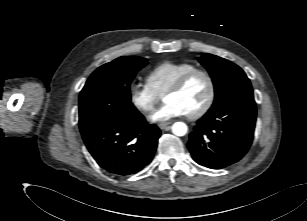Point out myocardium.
Returning <instances> with one entry per match:
<instances>
[{
    "mask_svg": "<svg viewBox=\"0 0 307 221\" xmlns=\"http://www.w3.org/2000/svg\"><path fill=\"white\" fill-rule=\"evenodd\" d=\"M197 75H202L207 79L209 85V94L206 102L199 110L194 113L186 114L187 117L191 120H196L206 115L214 104L216 97V82L212 73L208 70L199 68L189 71L182 75L165 93V96H167L172 93L180 92L189 83V81Z\"/></svg>",
    "mask_w": 307,
    "mask_h": 221,
    "instance_id": "1",
    "label": "myocardium"
}]
</instances>
